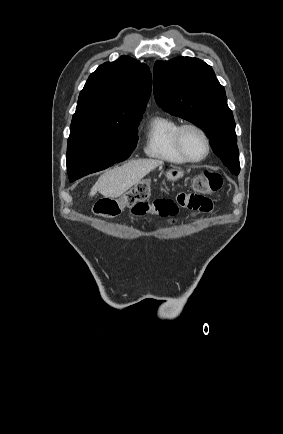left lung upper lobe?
<instances>
[{
  "mask_svg": "<svg viewBox=\"0 0 283 434\" xmlns=\"http://www.w3.org/2000/svg\"><path fill=\"white\" fill-rule=\"evenodd\" d=\"M153 76L157 105L200 127L209 136L214 153L238 175L235 121L212 67L198 58L177 57L157 61Z\"/></svg>",
  "mask_w": 283,
  "mask_h": 434,
  "instance_id": "5c2ea615",
  "label": "left lung upper lobe"
}]
</instances>
